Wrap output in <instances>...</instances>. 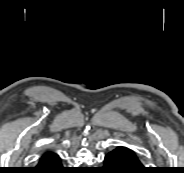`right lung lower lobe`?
I'll use <instances>...</instances> for the list:
<instances>
[{
    "instance_id": "right-lung-lower-lobe-1",
    "label": "right lung lower lobe",
    "mask_w": 184,
    "mask_h": 173,
    "mask_svg": "<svg viewBox=\"0 0 184 173\" xmlns=\"http://www.w3.org/2000/svg\"><path fill=\"white\" fill-rule=\"evenodd\" d=\"M68 169L62 166L61 158L58 154L47 151L39 159L37 167L32 173H68Z\"/></svg>"
}]
</instances>
